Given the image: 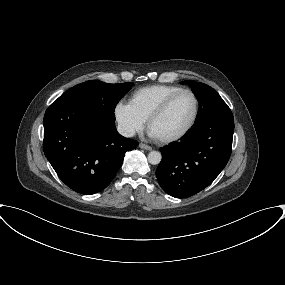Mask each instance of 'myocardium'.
<instances>
[{
	"label": "myocardium",
	"instance_id": "obj_1",
	"mask_svg": "<svg viewBox=\"0 0 285 285\" xmlns=\"http://www.w3.org/2000/svg\"><path fill=\"white\" fill-rule=\"evenodd\" d=\"M183 93H188L190 94L193 99H194V103H195V107H194V113L193 116L190 120V122L188 123V125L178 134L170 136V137H165V138H155L159 143L162 144H170V143H174L177 142L179 140H181L182 138H184L195 126L198 116H199V111H200V102H199V98L197 96V94L191 90V89H181L173 94H171L170 96H168L148 117V119L146 120V127H147V131L150 133V128L151 125L153 124V122L155 120H157L159 117H161L166 110L169 108V106L171 105V103L181 94ZM151 134V133H150Z\"/></svg>",
	"mask_w": 285,
	"mask_h": 285
}]
</instances>
